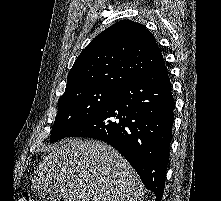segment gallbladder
Wrapping results in <instances>:
<instances>
[{
    "label": "gallbladder",
    "instance_id": "obj_1",
    "mask_svg": "<svg viewBox=\"0 0 221 201\" xmlns=\"http://www.w3.org/2000/svg\"><path fill=\"white\" fill-rule=\"evenodd\" d=\"M38 197L41 201H57L61 198V192L55 186L42 187L38 191Z\"/></svg>",
    "mask_w": 221,
    "mask_h": 201
}]
</instances>
